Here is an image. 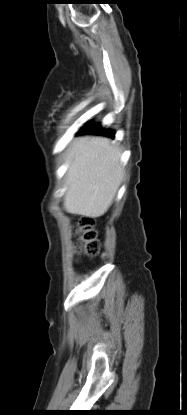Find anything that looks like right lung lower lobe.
<instances>
[{
    "label": "right lung lower lobe",
    "mask_w": 187,
    "mask_h": 415,
    "mask_svg": "<svg viewBox=\"0 0 187 415\" xmlns=\"http://www.w3.org/2000/svg\"><path fill=\"white\" fill-rule=\"evenodd\" d=\"M78 133H88V134H97V135H105L107 137L114 138V132L109 130H104L100 128V125H95L92 127L83 126L82 129Z\"/></svg>",
    "instance_id": "1"
}]
</instances>
